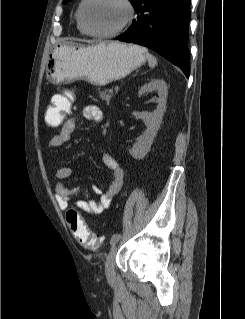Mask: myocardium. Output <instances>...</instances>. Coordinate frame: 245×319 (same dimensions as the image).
Returning <instances> with one entry per match:
<instances>
[{
	"label": "myocardium",
	"instance_id": "obj_1",
	"mask_svg": "<svg viewBox=\"0 0 245 319\" xmlns=\"http://www.w3.org/2000/svg\"><path fill=\"white\" fill-rule=\"evenodd\" d=\"M117 1L123 4V6L125 7L127 11V17L125 21L117 29L111 32L98 33V32L92 31L88 27L86 22V9L88 4L92 2V0H83V4L80 9V22L86 34L98 39H109V38H113L120 35L131 25V23L133 22L136 16V10L132 1L131 0H117Z\"/></svg>",
	"mask_w": 245,
	"mask_h": 319
}]
</instances>
